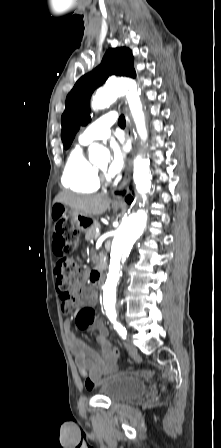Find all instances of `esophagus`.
I'll return each mask as SVG.
<instances>
[{
	"label": "esophagus",
	"mask_w": 221,
	"mask_h": 448,
	"mask_svg": "<svg viewBox=\"0 0 221 448\" xmlns=\"http://www.w3.org/2000/svg\"><path fill=\"white\" fill-rule=\"evenodd\" d=\"M127 138H128V140H129V142L131 143V146H132L131 147V156H130V159L128 161V166H127V169H126V172H125V176H124L121 184L119 185L118 190L125 189L128 186L129 182H130L132 161H133V158H134V155H135V143H134V138H133L132 125H131L128 117H127ZM113 202L114 203H119V204L125 203L124 200L121 197H119V196L114 197Z\"/></svg>",
	"instance_id": "obj_1"
}]
</instances>
